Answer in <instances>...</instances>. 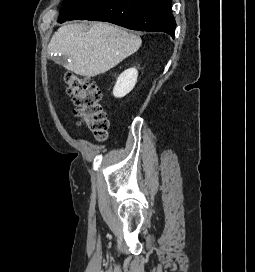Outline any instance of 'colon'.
I'll return each mask as SVG.
<instances>
[{"mask_svg": "<svg viewBox=\"0 0 255 272\" xmlns=\"http://www.w3.org/2000/svg\"><path fill=\"white\" fill-rule=\"evenodd\" d=\"M66 92L72 97L74 113L79 125L86 126L98 140L108 135L109 121L102 103V93L87 77L72 73L65 75Z\"/></svg>", "mask_w": 255, "mask_h": 272, "instance_id": "1", "label": "colon"}]
</instances>
